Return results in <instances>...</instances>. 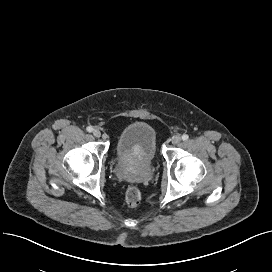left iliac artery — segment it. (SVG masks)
<instances>
[{
  "mask_svg": "<svg viewBox=\"0 0 272 272\" xmlns=\"http://www.w3.org/2000/svg\"><path fill=\"white\" fill-rule=\"evenodd\" d=\"M189 136L187 134H183L182 135V140L186 141L188 140Z\"/></svg>",
  "mask_w": 272,
  "mask_h": 272,
  "instance_id": "44dca946",
  "label": "left iliac artery"
}]
</instances>
